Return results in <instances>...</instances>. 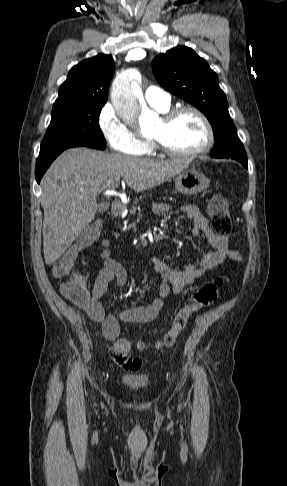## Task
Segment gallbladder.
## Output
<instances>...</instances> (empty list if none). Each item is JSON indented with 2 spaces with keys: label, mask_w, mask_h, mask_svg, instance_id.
Wrapping results in <instances>:
<instances>
[{
  "label": "gallbladder",
  "mask_w": 287,
  "mask_h": 486,
  "mask_svg": "<svg viewBox=\"0 0 287 486\" xmlns=\"http://www.w3.org/2000/svg\"><path fill=\"white\" fill-rule=\"evenodd\" d=\"M107 207H108L107 205L101 204L98 207V211L99 212H104L105 210H107Z\"/></svg>",
  "instance_id": "gallbladder-1"
}]
</instances>
